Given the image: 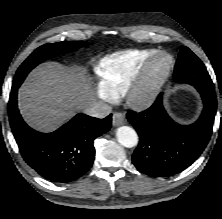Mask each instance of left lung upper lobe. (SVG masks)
I'll list each match as a JSON object with an SVG mask.
<instances>
[{"mask_svg": "<svg viewBox=\"0 0 222 219\" xmlns=\"http://www.w3.org/2000/svg\"><path fill=\"white\" fill-rule=\"evenodd\" d=\"M174 77L177 82L214 87L210 76L200 59L187 47L181 49L175 65Z\"/></svg>", "mask_w": 222, "mask_h": 219, "instance_id": "1", "label": "left lung upper lobe"}]
</instances>
